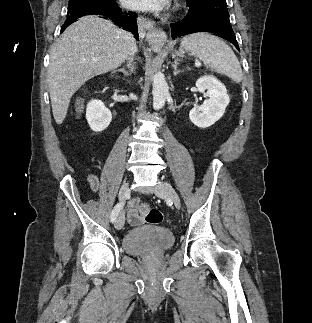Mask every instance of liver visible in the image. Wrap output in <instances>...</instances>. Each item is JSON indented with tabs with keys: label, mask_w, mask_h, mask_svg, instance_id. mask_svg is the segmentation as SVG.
Returning <instances> with one entry per match:
<instances>
[{
	"label": "liver",
	"mask_w": 312,
	"mask_h": 323,
	"mask_svg": "<svg viewBox=\"0 0 312 323\" xmlns=\"http://www.w3.org/2000/svg\"><path fill=\"white\" fill-rule=\"evenodd\" d=\"M130 54L127 32L99 16H83L50 48L49 94L56 124H63L70 100L94 76L124 64ZM97 60V62H92Z\"/></svg>",
	"instance_id": "1"
}]
</instances>
